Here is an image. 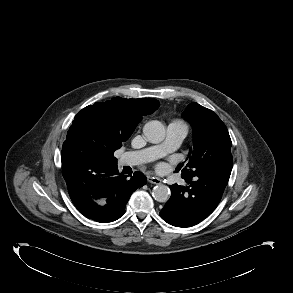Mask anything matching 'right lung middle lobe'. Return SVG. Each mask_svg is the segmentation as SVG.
Wrapping results in <instances>:
<instances>
[{"label":"right lung middle lobe","instance_id":"dd1d6c3e","mask_svg":"<svg viewBox=\"0 0 293 293\" xmlns=\"http://www.w3.org/2000/svg\"><path fill=\"white\" fill-rule=\"evenodd\" d=\"M117 150L116 147H112L109 144L104 145L103 147L91 151L86 158V161L89 163L95 162V161H104L108 157L111 158V161L114 164H117V159L114 157V152Z\"/></svg>","mask_w":293,"mask_h":293}]
</instances>
